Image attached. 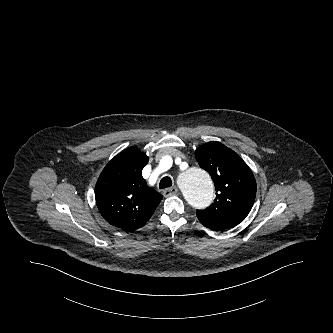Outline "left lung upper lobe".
Returning <instances> with one entry per match:
<instances>
[{"label": "left lung upper lobe", "mask_w": 333, "mask_h": 333, "mask_svg": "<svg viewBox=\"0 0 333 333\" xmlns=\"http://www.w3.org/2000/svg\"><path fill=\"white\" fill-rule=\"evenodd\" d=\"M196 160L214 181L216 198L197 217L209 229L221 231L241 223L250 212L256 181L247 164L220 142L206 143L195 151Z\"/></svg>", "instance_id": "left-lung-upper-lobe-1"}]
</instances>
